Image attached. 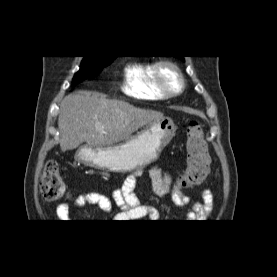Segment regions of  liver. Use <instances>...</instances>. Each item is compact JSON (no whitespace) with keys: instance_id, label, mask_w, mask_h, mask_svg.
Instances as JSON below:
<instances>
[{"instance_id":"1","label":"liver","mask_w":277,"mask_h":277,"mask_svg":"<svg viewBox=\"0 0 277 277\" xmlns=\"http://www.w3.org/2000/svg\"><path fill=\"white\" fill-rule=\"evenodd\" d=\"M162 118L161 112L109 100L96 92L72 93L60 105V148L72 150L84 142L92 147L114 145L128 139L140 127Z\"/></svg>"}]
</instances>
